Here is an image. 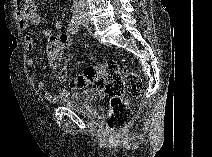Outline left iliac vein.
I'll use <instances>...</instances> for the list:
<instances>
[{
    "label": "left iliac vein",
    "mask_w": 212,
    "mask_h": 157,
    "mask_svg": "<svg viewBox=\"0 0 212 157\" xmlns=\"http://www.w3.org/2000/svg\"><path fill=\"white\" fill-rule=\"evenodd\" d=\"M79 24H81L83 26H87L88 25V19L86 17H84L82 20L79 21Z\"/></svg>",
    "instance_id": "obj_1"
}]
</instances>
